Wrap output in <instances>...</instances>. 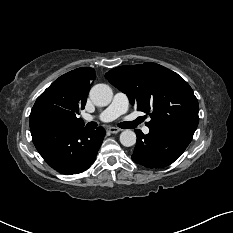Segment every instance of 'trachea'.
<instances>
[{
  "mask_svg": "<svg viewBox=\"0 0 233 233\" xmlns=\"http://www.w3.org/2000/svg\"><path fill=\"white\" fill-rule=\"evenodd\" d=\"M140 122V120H136V121H133V122H124L122 123V126L126 127V128H132L134 126H136L138 123ZM86 127L88 129H95L97 127V123L96 122H89Z\"/></svg>",
  "mask_w": 233,
  "mask_h": 233,
  "instance_id": "trachea-1",
  "label": "trachea"
}]
</instances>
